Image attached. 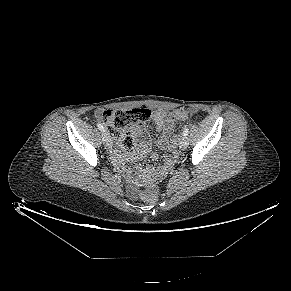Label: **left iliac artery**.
<instances>
[{
    "label": "left iliac artery",
    "mask_w": 291,
    "mask_h": 291,
    "mask_svg": "<svg viewBox=\"0 0 291 291\" xmlns=\"http://www.w3.org/2000/svg\"><path fill=\"white\" fill-rule=\"evenodd\" d=\"M189 133V128L188 127H185L184 130H183V135L184 136H187Z\"/></svg>",
    "instance_id": "left-iliac-artery-1"
}]
</instances>
